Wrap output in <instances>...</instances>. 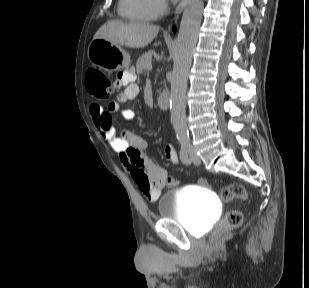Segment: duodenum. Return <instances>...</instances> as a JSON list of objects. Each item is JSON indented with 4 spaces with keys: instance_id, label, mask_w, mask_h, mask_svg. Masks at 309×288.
Returning a JSON list of instances; mask_svg holds the SVG:
<instances>
[{
    "instance_id": "duodenum-1",
    "label": "duodenum",
    "mask_w": 309,
    "mask_h": 288,
    "mask_svg": "<svg viewBox=\"0 0 309 288\" xmlns=\"http://www.w3.org/2000/svg\"><path fill=\"white\" fill-rule=\"evenodd\" d=\"M171 104V95L167 91H163L158 99L157 105L162 110H168Z\"/></svg>"
}]
</instances>
